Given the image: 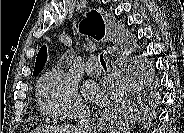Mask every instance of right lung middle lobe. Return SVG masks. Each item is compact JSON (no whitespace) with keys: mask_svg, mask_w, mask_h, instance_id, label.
<instances>
[{"mask_svg":"<svg viewBox=\"0 0 184 133\" xmlns=\"http://www.w3.org/2000/svg\"><path fill=\"white\" fill-rule=\"evenodd\" d=\"M127 39L128 35L125 34ZM128 45L130 46L132 52L135 51L132 49V42L129 39ZM127 62L129 69L127 73V81L130 85L129 99L130 103L133 106H143L147 103V95L149 87L152 83L151 76L147 65L143 62H138V54H134L129 57Z\"/></svg>","mask_w":184,"mask_h":133,"instance_id":"dd1d6c3e","label":"right lung middle lobe"}]
</instances>
